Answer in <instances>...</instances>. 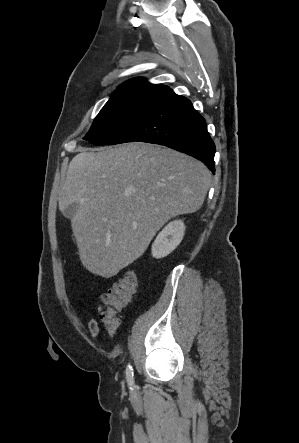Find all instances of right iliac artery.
<instances>
[{"instance_id": "obj_1", "label": "right iliac artery", "mask_w": 299, "mask_h": 443, "mask_svg": "<svg viewBox=\"0 0 299 443\" xmlns=\"http://www.w3.org/2000/svg\"><path fill=\"white\" fill-rule=\"evenodd\" d=\"M126 377L130 388H132L134 385V374H133V368L130 364L126 368Z\"/></svg>"}]
</instances>
